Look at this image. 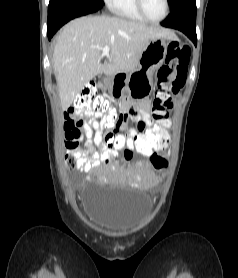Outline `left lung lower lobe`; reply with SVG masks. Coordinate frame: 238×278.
<instances>
[{
  "label": "left lung lower lobe",
  "instance_id": "0a47b994",
  "mask_svg": "<svg viewBox=\"0 0 238 278\" xmlns=\"http://www.w3.org/2000/svg\"><path fill=\"white\" fill-rule=\"evenodd\" d=\"M161 25L182 31L196 45V0H180Z\"/></svg>",
  "mask_w": 238,
  "mask_h": 278
}]
</instances>
